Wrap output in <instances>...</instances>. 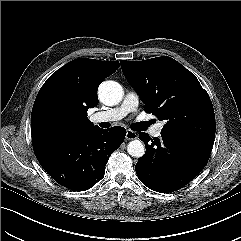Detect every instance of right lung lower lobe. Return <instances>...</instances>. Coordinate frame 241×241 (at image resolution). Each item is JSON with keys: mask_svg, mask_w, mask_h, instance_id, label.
Segmentation results:
<instances>
[{"mask_svg": "<svg viewBox=\"0 0 241 241\" xmlns=\"http://www.w3.org/2000/svg\"><path fill=\"white\" fill-rule=\"evenodd\" d=\"M125 135L123 127H97L62 142L34 148V152L56 182L73 191H84L104 177L108 159Z\"/></svg>", "mask_w": 241, "mask_h": 241, "instance_id": "98d812e1", "label": "right lung lower lobe"}]
</instances>
